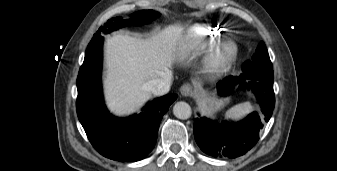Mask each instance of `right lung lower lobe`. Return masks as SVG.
I'll return each mask as SVG.
<instances>
[{"mask_svg":"<svg viewBox=\"0 0 337 171\" xmlns=\"http://www.w3.org/2000/svg\"><path fill=\"white\" fill-rule=\"evenodd\" d=\"M103 37L89 43L77 77V115L93 147L103 156L121 162L145 158L154 148L160 121L177 99L169 94L149 102L138 115L112 116L101 92Z\"/></svg>","mask_w":337,"mask_h":171,"instance_id":"1","label":"right lung lower lobe"}]
</instances>
